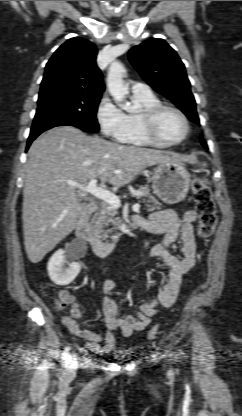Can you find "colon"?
I'll return each mask as SVG.
<instances>
[{"label":"colon","instance_id":"obj_1","mask_svg":"<svg viewBox=\"0 0 242 416\" xmlns=\"http://www.w3.org/2000/svg\"><path fill=\"white\" fill-rule=\"evenodd\" d=\"M193 199L196 212L198 214L197 234L202 240L208 239L217 225L216 205L212 197L210 186L205 178H195L192 184ZM70 297L64 291L58 294L56 305L64 308L69 302ZM158 334V328L154 327L147 333L148 339H154Z\"/></svg>","mask_w":242,"mask_h":416}]
</instances>
